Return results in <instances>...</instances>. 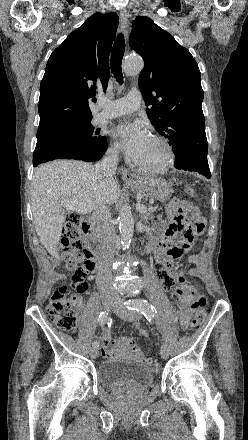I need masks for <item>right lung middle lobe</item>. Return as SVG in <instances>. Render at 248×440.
Listing matches in <instances>:
<instances>
[{
    "instance_id": "obj_1",
    "label": "right lung middle lobe",
    "mask_w": 248,
    "mask_h": 440,
    "mask_svg": "<svg viewBox=\"0 0 248 440\" xmlns=\"http://www.w3.org/2000/svg\"><path fill=\"white\" fill-rule=\"evenodd\" d=\"M91 119L75 122L65 129L38 131L37 142L46 141L59 149H94L104 142L94 134Z\"/></svg>"
}]
</instances>
